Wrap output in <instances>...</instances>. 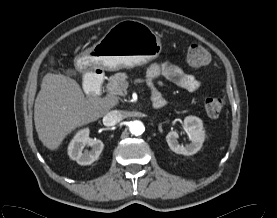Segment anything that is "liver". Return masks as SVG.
Returning a JSON list of instances; mask_svg holds the SVG:
<instances>
[{
  "mask_svg": "<svg viewBox=\"0 0 277 218\" xmlns=\"http://www.w3.org/2000/svg\"><path fill=\"white\" fill-rule=\"evenodd\" d=\"M117 103L115 97L87 99L74 79L47 73L34 105L38 137L46 148L56 150L70 132L103 117Z\"/></svg>",
  "mask_w": 277,
  "mask_h": 218,
  "instance_id": "obj_1",
  "label": "liver"
}]
</instances>
